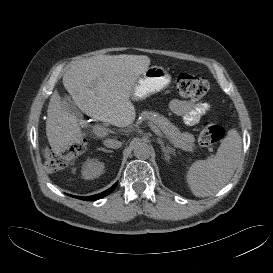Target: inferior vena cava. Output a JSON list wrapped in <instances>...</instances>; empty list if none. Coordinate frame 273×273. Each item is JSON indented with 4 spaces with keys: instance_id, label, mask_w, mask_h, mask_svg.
Here are the masks:
<instances>
[{
    "instance_id": "1",
    "label": "inferior vena cava",
    "mask_w": 273,
    "mask_h": 273,
    "mask_svg": "<svg viewBox=\"0 0 273 273\" xmlns=\"http://www.w3.org/2000/svg\"><path fill=\"white\" fill-rule=\"evenodd\" d=\"M104 145L108 148L117 149L122 146V143L116 139H106L104 140Z\"/></svg>"
}]
</instances>
